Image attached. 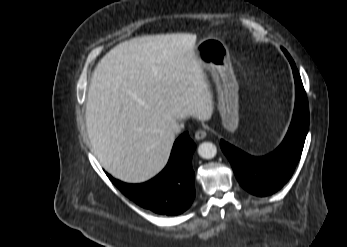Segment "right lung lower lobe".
<instances>
[{"label": "right lung lower lobe", "instance_id": "98d812e1", "mask_svg": "<svg viewBox=\"0 0 347 247\" xmlns=\"http://www.w3.org/2000/svg\"><path fill=\"white\" fill-rule=\"evenodd\" d=\"M196 145L187 132L174 143L168 164L155 178L142 184H127L108 175L129 199L158 214L177 215L187 210L195 197L192 155Z\"/></svg>", "mask_w": 347, "mask_h": 247}]
</instances>
